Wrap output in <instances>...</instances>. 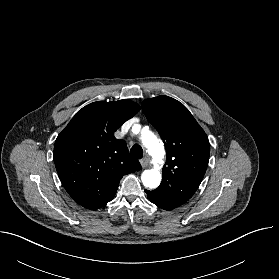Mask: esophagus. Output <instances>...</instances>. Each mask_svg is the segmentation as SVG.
Segmentation results:
<instances>
[{
  "instance_id": "esophagus-1",
  "label": "esophagus",
  "mask_w": 279,
  "mask_h": 279,
  "mask_svg": "<svg viewBox=\"0 0 279 279\" xmlns=\"http://www.w3.org/2000/svg\"><path fill=\"white\" fill-rule=\"evenodd\" d=\"M140 163L143 168H146L149 165L148 157H144L143 159H141Z\"/></svg>"
}]
</instances>
